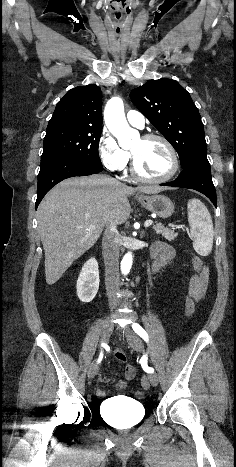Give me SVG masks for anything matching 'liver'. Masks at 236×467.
<instances>
[{"instance_id": "1", "label": "liver", "mask_w": 236, "mask_h": 467, "mask_svg": "<svg viewBox=\"0 0 236 467\" xmlns=\"http://www.w3.org/2000/svg\"><path fill=\"white\" fill-rule=\"evenodd\" d=\"M164 189L132 188L103 175L68 178L52 188L37 210L47 284L56 283L96 243L104 227L127 221L129 195L136 191L156 194ZM90 225L96 228H89Z\"/></svg>"}]
</instances>
